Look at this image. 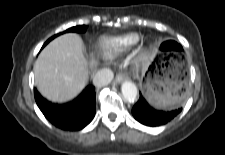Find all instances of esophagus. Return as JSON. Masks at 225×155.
Here are the masks:
<instances>
[{"instance_id":"34e87169","label":"esophagus","mask_w":225,"mask_h":155,"mask_svg":"<svg viewBox=\"0 0 225 155\" xmlns=\"http://www.w3.org/2000/svg\"><path fill=\"white\" fill-rule=\"evenodd\" d=\"M125 78H126L125 75H123V74H117L116 77H115V79H114V84L121 83Z\"/></svg>"}]
</instances>
